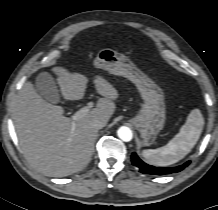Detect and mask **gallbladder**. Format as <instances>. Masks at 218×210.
Listing matches in <instances>:
<instances>
[{"instance_id": "gallbladder-1", "label": "gallbladder", "mask_w": 218, "mask_h": 210, "mask_svg": "<svg viewBox=\"0 0 218 210\" xmlns=\"http://www.w3.org/2000/svg\"><path fill=\"white\" fill-rule=\"evenodd\" d=\"M35 88L47 101L51 103H58L60 101L56 82L48 72H42L36 77Z\"/></svg>"}]
</instances>
